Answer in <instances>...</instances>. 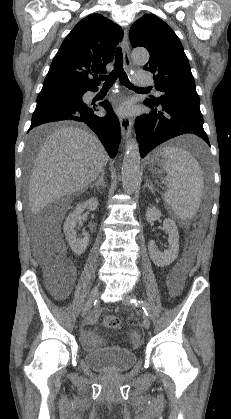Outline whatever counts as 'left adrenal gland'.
I'll return each mask as SVG.
<instances>
[{"mask_svg": "<svg viewBox=\"0 0 231 419\" xmlns=\"http://www.w3.org/2000/svg\"><path fill=\"white\" fill-rule=\"evenodd\" d=\"M144 187L149 188L151 190V192L154 193L153 185L149 184V179L146 180V184H145Z\"/></svg>", "mask_w": 231, "mask_h": 419, "instance_id": "a2214340", "label": "left adrenal gland"}]
</instances>
